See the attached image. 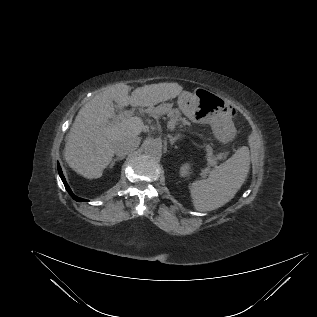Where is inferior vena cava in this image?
<instances>
[{
	"instance_id": "obj_1",
	"label": "inferior vena cava",
	"mask_w": 317,
	"mask_h": 317,
	"mask_svg": "<svg viewBox=\"0 0 317 317\" xmlns=\"http://www.w3.org/2000/svg\"><path fill=\"white\" fill-rule=\"evenodd\" d=\"M139 144H140V139L138 137H134V136L124 137V138L118 140L114 144V146H113L114 153L117 156L124 157L129 152L136 149L139 146Z\"/></svg>"
}]
</instances>
